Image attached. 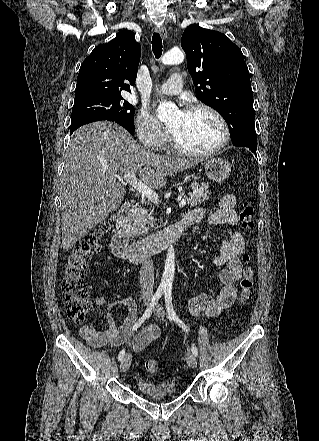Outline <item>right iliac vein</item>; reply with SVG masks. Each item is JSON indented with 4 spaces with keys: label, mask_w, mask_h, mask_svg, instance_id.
I'll list each match as a JSON object with an SVG mask.
<instances>
[{
    "label": "right iliac vein",
    "mask_w": 319,
    "mask_h": 441,
    "mask_svg": "<svg viewBox=\"0 0 319 441\" xmlns=\"http://www.w3.org/2000/svg\"><path fill=\"white\" fill-rule=\"evenodd\" d=\"M147 303L148 302H145V305H147ZM131 361H132V355L129 353L121 361L120 369L122 372H126L129 369V367L131 365Z\"/></svg>",
    "instance_id": "right-iliac-vein-1"
}]
</instances>
